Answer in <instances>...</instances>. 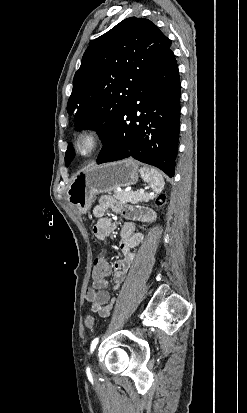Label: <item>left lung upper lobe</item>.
<instances>
[{"instance_id":"left-lung-upper-lobe-1","label":"left lung upper lobe","mask_w":247,"mask_h":413,"mask_svg":"<svg viewBox=\"0 0 247 413\" xmlns=\"http://www.w3.org/2000/svg\"><path fill=\"white\" fill-rule=\"evenodd\" d=\"M171 42L150 20L137 17L121 21L95 39L75 73L67 104L76 130L94 129L104 144L136 89ZM73 158L69 146L66 166Z\"/></svg>"}]
</instances>
